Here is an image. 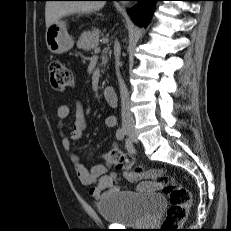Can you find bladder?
<instances>
[{
  "label": "bladder",
  "instance_id": "bladder-1",
  "mask_svg": "<svg viewBox=\"0 0 231 231\" xmlns=\"http://www.w3.org/2000/svg\"><path fill=\"white\" fill-rule=\"evenodd\" d=\"M161 194L112 193L103 197L97 210L104 220L124 226L144 225L165 209Z\"/></svg>",
  "mask_w": 231,
  "mask_h": 231
}]
</instances>
